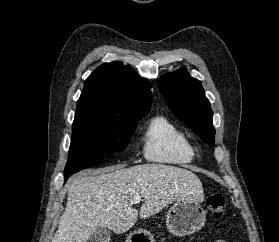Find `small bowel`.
<instances>
[{
    "instance_id": "small-bowel-1",
    "label": "small bowel",
    "mask_w": 279,
    "mask_h": 242,
    "mask_svg": "<svg viewBox=\"0 0 279 242\" xmlns=\"http://www.w3.org/2000/svg\"><path fill=\"white\" fill-rule=\"evenodd\" d=\"M215 242H226L225 240H222V239H218L216 240Z\"/></svg>"
}]
</instances>
